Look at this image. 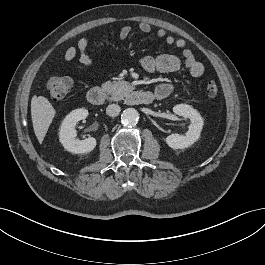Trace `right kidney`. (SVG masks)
Masks as SVG:
<instances>
[{"mask_svg":"<svg viewBox=\"0 0 265 265\" xmlns=\"http://www.w3.org/2000/svg\"><path fill=\"white\" fill-rule=\"evenodd\" d=\"M88 110L84 108L76 109L70 112L62 122L59 131V140L63 147L71 153H88L96 146V139L89 137L85 140L76 139L75 126L78 121L86 119Z\"/></svg>","mask_w":265,"mask_h":265,"instance_id":"obj_1","label":"right kidney"}]
</instances>
